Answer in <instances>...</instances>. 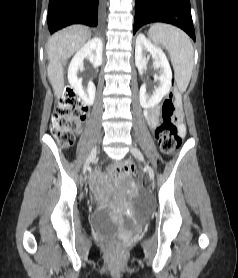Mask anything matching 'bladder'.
I'll list each match as a JSON object with an SVG mask.
<instances>
[{"label": "bladder", "instance_id": "31cf9c89", "mask_svg": "<svg viewBox=\"0 0 238 278\" xmlns=\"http://www.w3.org/2000/svg\"><path fill=\"white\" fill-rule=\"evenodd\" d=\"M91 227L98 233L108 234L116 230L117 224L114 222L106 210L95 211L90 220Z\"/></svg>", "mask_w": 238, "mask_h": 278}]
</instances>
